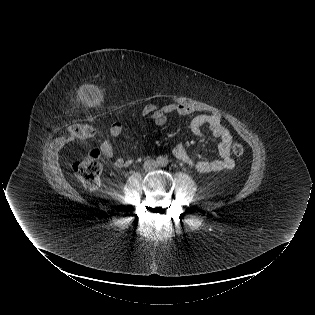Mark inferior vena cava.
<instances>
[{
	"instance_id": "1",
	"label": "inferior vena cava",
	"mask_w": 315,
	"mask_h": 315,
	"mask_svg": "<svg viewBox=\"0 0 315 315\" xmlns=\"http://www.w3.org/2000/svg\"><path fill=\"white\" fill-rule=\"evenodd\" d=\"M156 166V162L154 160H147L145 161L144 163V167L147 169V170H150L152 169L153 167Z\"/></svg>"
}]
</instances>
